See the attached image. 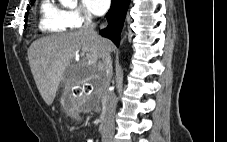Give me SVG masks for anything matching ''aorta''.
<instances>
[{"instance_id":"1","label":"aorta","mask_w":227,"mask_h":142,"mask_svg":"<svg viewBox=\"0 0 227 142\" xmlns=\"http://www.w3.org/2000/svg\"><path fill=\"white\" fill-rule=\"evenodd\" d=\"M63 4L73 7L77 4V0H60Z\"/></svg>"}]
</instances>
